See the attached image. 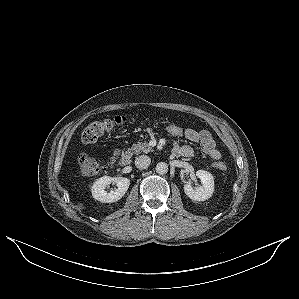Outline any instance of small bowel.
Returning <instances> with one entry per match:
<instances>
[{
    "mask_svg": "<svg viewBox=\"0 0 299 299\" xmlns=\"http://www.w3.org/2000/svg\"><path fill=\"white\" fill-rule=\"evenodd\" d=\"M184 137L191 142L200 144L202 151L213 160L219 161L221 159V152L217 149L216 143L209 131L186 128ZM173 153L177 156L191 157L194 154V149L189 145L181 146L175 143Z\"/></svg>",
    "mask_w": 299,
    "mask_h": 299,
    "instance_id": "c3829d8e",
    "label": "small bowel"
}]
</instances>
